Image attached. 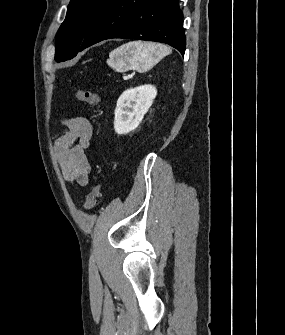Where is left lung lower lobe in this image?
Here are the masks:
<instances>
[{
  "mask_svg": "<svg viewBox=\"0 0 285 335\" xmlns=\"http://www.w3.org/2000/svg\"><path fill=\"white\" fill-rule=\"evenodd\" d=\"M179 0H110L85 35L79 51L105 39L169 44L183 56L186 38Z\"/></svg>",
  "mask_w": 285,
  "mask_h": 335,
  "instance_id": "left-lung-lower-lobe-1",
  "label": "left lung lower lobe"
}]
</instances>
